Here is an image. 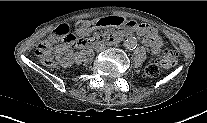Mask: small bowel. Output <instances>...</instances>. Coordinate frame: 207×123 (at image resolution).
Returning <instances> with one entry per match:
<instances>
[{
  "instance_id": "c3829d8e",
  "label": "small bowel",
  "mask_w": 207,
  "mask_h": 123,
  "mask_svg": "<svg viewBox=\"0 0 207 123\" xmlns=\"http://www.w3.org/2000/svg\"><path fill=\"white\" fill-rule=\"evenodd\" d=\"M126 23L124 17H104L97 25H101L104 28L107 27H122ZM87 23L85 21L73 22V29L76 31H84L87 29ZM122 31H136L143 37V43L151 47L153 55H158L163 47L162 40L158 37L156 30L145 23L136 24L133 21L126 23V28ZM80 44V43H78ZM83 45V44H80Z\"/></svg>"
}]
</instances>
